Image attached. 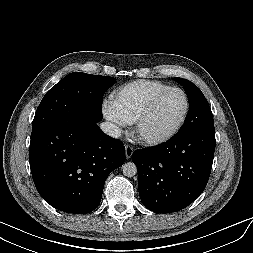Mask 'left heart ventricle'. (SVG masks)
Masks as SVG:
<instances>
[{
    "label": "left heart ventricle",
    "mask_w": 253,
    "mask_h": 253,
    "mask_svg": "<svg viewBox=\"0 0 253 253\" xmlns=\"http://www.w3.org/2000/svg\"><path fill=\"white\" fill-rule=\"evenodd\" d=\"M185 107L183 95L172 91L164 95L141 127V135L159 136L170 131L179 121Z\"/></svg>",
    "instance_id": "1"
}]
</instances>
